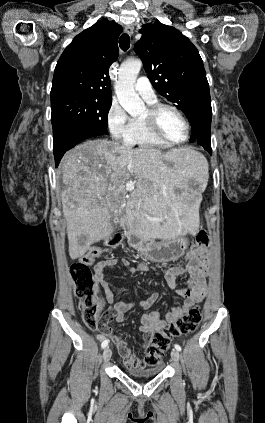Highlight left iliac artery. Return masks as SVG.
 <instances>
[{"instance_id":"obj_1","label":"left iliac artery","mask_w":265,"mask_h":423,"mask_svg":"<svg viewBox=\"0 0 265 423\" xmlns=\"http://www.w3.org/2000/svg\"><path fill=\"white\" fill-rule=\"evenodd\" d=\"M174 347H175V349H176V350H178V351H181V350H182V349H181V346H180V345H178V344H175V345H174Z\"/></svg>"}]
</instances>
